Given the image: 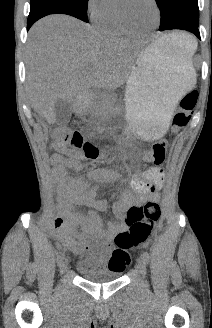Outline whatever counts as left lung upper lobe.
I'll return each mask as SVG.
<instances>
[{"label": "left lung upper lobe", "instance_id": "5c2ea615", "mask_svg": "<svg viewBox=\"0 0 212 328\" xmlns=\"http://www.w3.org/2000/svg\"><path fill=\"white\" fill-rule=\"evenodd\" d=\"M160 8V29H165L172 23L185 20L199 25L198 0H155Z\"/></svg>", "mask_w": 212, "mask_h": 328}]
</instances>
